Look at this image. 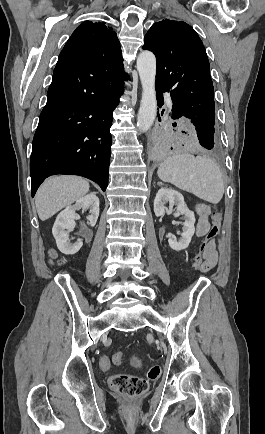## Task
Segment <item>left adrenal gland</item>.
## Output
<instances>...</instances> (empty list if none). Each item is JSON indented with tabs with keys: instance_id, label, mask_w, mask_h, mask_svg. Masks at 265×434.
<instances>
[{
	"instance_id": "obj_1",
	"label": "left adrenal gland",
	"mask_w": 265,
	"mask_h": 434,
	"mask_svg": "<svg viewBox=\"0 0 265 434\" xmlns=\"http://www.w3.org/2000/svg\"><path fill=\"white\" fill-rule=\"evenodd\" d=\"M158 186H163L162 182H158Z\"/></svg>"
}]
</instances>
